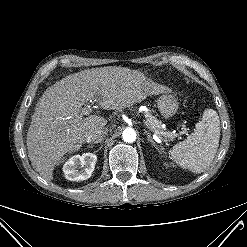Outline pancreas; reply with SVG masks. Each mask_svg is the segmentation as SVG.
Masks as SVG:
<instances>
[{
	"instance_id": "1",
	"label": "pancreas",
	"mask_w": 247,
	"mask_h": 247,
	"mask_svg": "<svg viewBox=\"0 0 247 247\" xmlns=\"http://www.w3.org/2000/svg\"><path fill=\"white\" fill-rule=\"evenodd\" d=\"M146 118V122L149 124V126L156 132H158V135L161 137H164L165 139L168 140H172L175 138V134H173L170 131H166L165 129H163L162 126V122L159 121L157 118H155L154 116H152L151 114H148L145 116Z\"/></svg>"
}]
</instances>
